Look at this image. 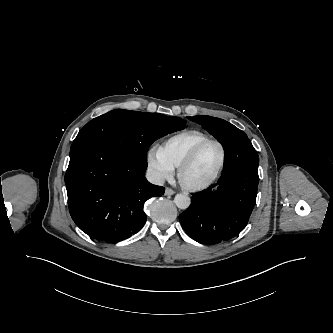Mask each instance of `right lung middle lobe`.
<instances>
[{
    "label": "right lung middle lobe",
    "mask_w": 333,
    "mask_h": 333,
    "mask_svg": "<svg viewBox=\"0 0 333 333\" xmlns=\"http://www.w3.org/2000/svg\"><path fill=\"white\" fill-rule=\"evenodd\" d=\"M185 128V121L159 113L112 110L88 122L72 146L95 141L115 148L136 161L147 163L149 146L158 138Z\"/></svg>",
    "instance_id": "right-lung-middle-lobe-1"
}]
</instances>
